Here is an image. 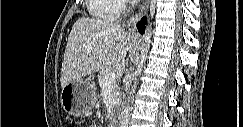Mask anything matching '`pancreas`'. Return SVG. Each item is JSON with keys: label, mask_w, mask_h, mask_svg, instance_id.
Returning a JSON list of instances; mask_svg holds the SVG:
<instances>
[{"label": "pancreas", "mask_w": 243, "mask_h": 127, "mask_svg": "<svg viewBox=\"0 0 243 127\" xmlns=\"http://www.w3.org/2000/svg\"><path fill=\"white\" fill-rule=\"evenodd\" d=\"M114 67H108L103 69L99 76H98V84L101 88H103V78L110 72L114 71ZM117 89H118V80H115L111 85H110V91L112 94L113 99H117L118 94H117Z\"/></svg>", "instance_id": "obj_1"}]
</instances>
